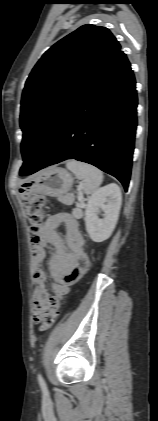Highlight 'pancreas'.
<instances>
[{
	"mask_svg": "<svg viewBox=\"0 0 158 421\" xmlns=\"http://www.w3.org/2000/svg\"><path fill=\"white\" fill-rule=\"evenodd\" d=\"M60 200H61V202L70 205L73 202V196L71 195V196H67V197H62V198H60ZM79 204L83 205V201H81Z\"/></svg>",
	"mask_w": 158,
	"mask_h": 421,
	"instance_id": "cf45deb5",
	"label": "pancreas"
}]
</instances>
